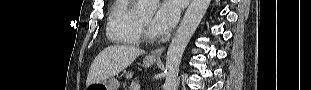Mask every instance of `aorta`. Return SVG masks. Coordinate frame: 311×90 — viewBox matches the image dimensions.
Listing matches in <instances>:
<instances>
[{
  "mask_svg": "<svg viewBox=\"0 0 311 90\" xmlns=\"http://www.w3.org/2000/svg\"><path fill=\"white\" fill-rule=\"evenodd\" d=\"M211 0H192L173 37L166 56V80L164 90H176L179 67L183 53L192 35L206 13ZM157 7V0H138L136 10L143 15H152Z\"/></svg>",
  "mask_w": 311,
  "mask_h": 90,
  "instance_id": "1",
  "label": "aorta"
}]
</instances>
